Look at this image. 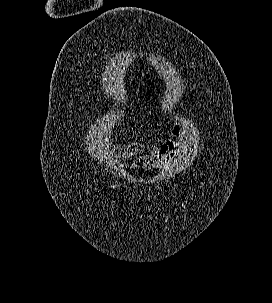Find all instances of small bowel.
I'll return each instance as SVG.
<instances>
[{
  "instance_id": "c3829d8e",
  "label": "small bowel",
  "mask_w": 272,
  "mask_h": 303,
  "mask_svg": "<svg viewBox=\"0 0 272 303\" xmlns=\"http://www.w3.org/2000/svg\"><path fill=\"white\" fill-rule=\"evenodd\" d=\"M178 129L174 130V135ZM146 147L139 142L123 144L115 149V156L123 159L136 158L134 166L152 165L156 167L168 166L175 161L179 152V144L173 139L161 140L156 147L145 153Z\"/></svg>"
}]
</instances>
